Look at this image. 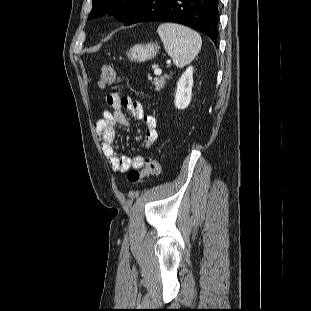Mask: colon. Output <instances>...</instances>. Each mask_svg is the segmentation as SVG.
I'll list each match as a JSON object with an SVG mask.
<instances>
[{"instance_id":"obj_1","label":"colon","mask_w":311,"mask_h":311,"mask_svg":"<svg viewBox=\"0 0 311 311\" xmlns=\"http://www.w3.org/2000/svg\"><path fill=\"white\" fill-rule=\"evenodd\" d=\"M118 81V75L115 68L106 65L101 69L99 75V86L102 88L114 85ZM160 161L158 156L149 157L145 160L144 167L141 170L132 169L127 174V180L130 184H137L146 177L156 176L160 173Z\"/></svg>"}]
</instances>
